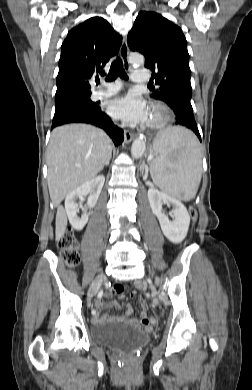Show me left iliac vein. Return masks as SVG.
<instances>
[{"label": "left iliac vein", "mask_w": 252, "mask_h": 390, "mask_svg": "<svg viewBox=\"0 0 252 390\" xmlns=\"http://www.w3.org/2000/svg\"><path fill=\"white\" fill-rule=\"evenodd\" d=\"M148 283H149V285H150V289L152 290V292H155V289H154V287H153V285H152V283H151L150 280H148Z\"/></svg>", "instance_id": "left-iliac-vein-1"}]
</instances>
